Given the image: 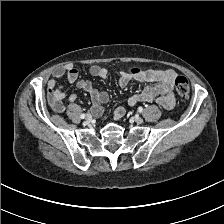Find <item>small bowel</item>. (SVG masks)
I'll return each mask as SVG.
<instances>
[{"mask_svg": "<svg viewBox=\"0 0 224 224\" xmlns=\"http://www.w3.org/2000/svg\"><path fill=\"white\" fill-rule=\"evenodd\" d=\"M92 76L106 79L108 71L99 66L93 65L90 67ZM176 73L172 69L162 70H147L140 71L136 74L122 72L119 76V85L126 87L132 79L139 82H150L152 85L145 87L142 91L130 96L126 100L129 106L136 105L140 102H151L156 100L157 103L165 109H172L175 105V97L172 93L173 80ZM65 78L69 83H75L79 89L87 92L92 100V113L96 116L102 113L101 105L108 101V94L104 91H99L91 81L79 79V71L71 65L59 67L54 70L53 77L48 81V99L54 111L62 113L64 105L62 100L66 97V93L57 85V80ZM77 96L72 94L69 96V101H76ZM124 113L123 107H119L115 111L114 118H120Z\"/></svg>", "mask_w": 224, "mask_h": 224, "instance_id": "small-bowel-1", "label": "small bowel"}]
</instances>
